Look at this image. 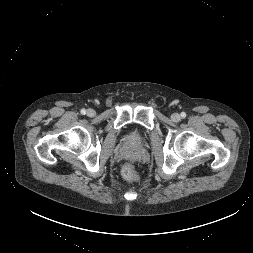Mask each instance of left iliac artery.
Returning a JSON list of instances; mask_svg holds the SVG:
<instances>
[{
    "label": "left iliac artery",
    "mask_w": 253,
    "mask_h": 253,
    "mask_svg": "<svg viewBox=\"0 0 253 253\" xmlns=\"http://www.w3.org/2000/svg\"><path fill=\"white\" fill-rule=\"evenodd\" d=\"M181 117H182V118H185V117H186V113H185V112H182V113H181Z\"/></svg>",
    "instance_id": "44dca946"
}]
</instances>
